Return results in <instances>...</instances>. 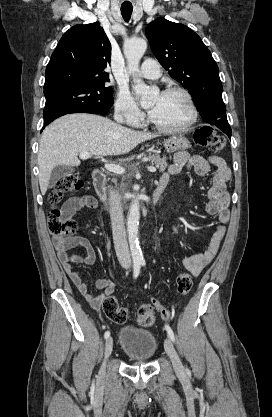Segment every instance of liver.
<instances>
[{
	"instance_id": "1",
	"label": "liver",
	"mask_w": 272,
	"mask_h": 417,
	"mask_svg": "<svg viewBox=\"0 0 272 417\" xmlns=\"http://www.w3.org/2000/svg\"><path fill=\"white\" fill-rule=\"evenodd\" d=\"M157 134L135 131L93 114H69L56 119L42 133L38 152L41 193L47 191L51 172L58 165L78 166V154L96 156L129 153Z\"/></svg>"
}]
</instances>
